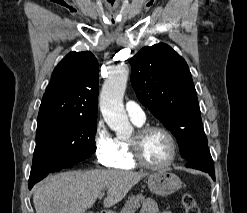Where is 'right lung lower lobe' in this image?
Instances as JSON below:
<instances>
[{
    "label": "right lung lower lobe",
    "mask_w": 247,
    "mask_h": 213,
    "mask_svg": "<svg viewBox=\"0 0 247 213\" xmlns=\"http://www.w3.org/2000/svg\"><path fill=\"white\" fill-rule=\"evenodd\" d=\"M39 180H29V189L33 187V185L38 182Z\"/></svg>",
    "instance_id": "98d812e1"
}]
</instances>
